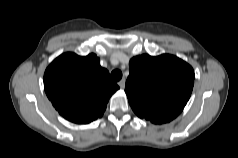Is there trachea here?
<instances>
[{"mask_svg":"<svg viewBox=\"0 0 238 158\" xmlns=\"http://www.w3.org/2000/svg\"><path fill=\"white\" fill-rule=\"evenodd\" d=\"M111 78L116 82L119 81L122 78V72L120 70H113L111 72Z\"/></svg>","mask_w":238,"mask_h":158,"instance_id":"trachea-1","label":"trachea"}]
</instances>
